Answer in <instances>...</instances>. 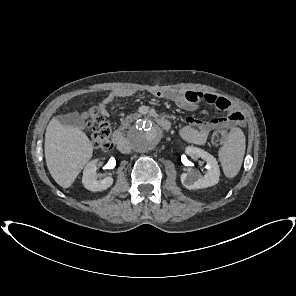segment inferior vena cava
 I'll return each mask as SVG.
<instances>
[{"label": "inferior vena cava", "instance_id": "1", "mask_svg": "<svg viewBox=\"0 0 296 296\" xmlns=\"http://www.w3.org/2000/svg\"><path fill=\"white\" fill-rule=\"evenodd\" d=\"M119 149L123 153H129L130 152V144L127 140H125L121 145H119Z\"/></svg>", "mask_w": 296, "mask_h": 296}]
</instances>
